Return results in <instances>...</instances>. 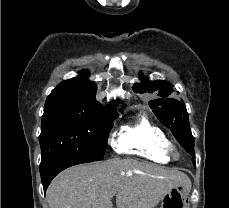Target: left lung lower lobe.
I'll return each instance as SVG.
<instances>
[{"instance_id":"1","label":"left lung lower lobe","mask_w":229,"mask_h":208,"mask_svg":"<svg viewBox=\"0 0 229 208\" xmlns=\"http://www.w3.org/2000/svg\"><path fill=\"white\" fill-rule=\"evenodd\" d=\"M184 148H185V150H186L188 153H190L193 157H195V154H194V145L186 146V147H184ZM192 162H193L194 167H195V160L192 159Z\"/></svg>"}]
</instances>
